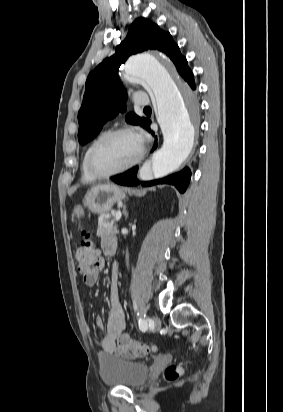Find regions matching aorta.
<instances>
[{"mask_svg":"<svg viewBox=\"0 0 283 412\" xmlns=\"http://www.w3.org/2000/svg\"><path fill=\"white\" fill-rule=\"evenodd\" d=\"M168 61L143 53L125 64L126 78L142 83L154 95L157 119L164 143L151 159L154 178L177 170L189 156L195 140V124L190 109L195 110L190 89L179 87L171 76Z\"/></svg>","mask_w":283,"mask_h":412,"instance_id":"aorta-1","label":"aorta"}]
</instances>
